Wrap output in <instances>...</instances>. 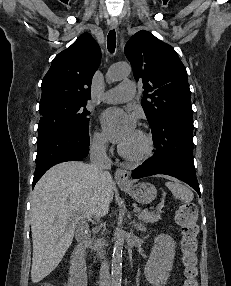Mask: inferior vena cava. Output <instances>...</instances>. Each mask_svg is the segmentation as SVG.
<instances>
[{"instance_id":"inferior-vena-cava-1","label":"inferior vena cava","mask_w":231,"mask_h":286,"mask_svg":"<svg viewBox=\"0 0 231 286\" xmlns=\"http://www.w3.org/2000/svg\"><path fill=\"white\" fill-rule=\"evenodd\" d=\"M106 141L99 139L94 140L90 147V161L91 167L95 175H97L101 181H105L110 177L108 172L111 169V160L106 153ZM108 212V209L105 205H102L97 214L99 216H104ZM100 286H111V276L109 271V265L106 257H103V261L100 267Z\"/></svg>"}]
</instances>
